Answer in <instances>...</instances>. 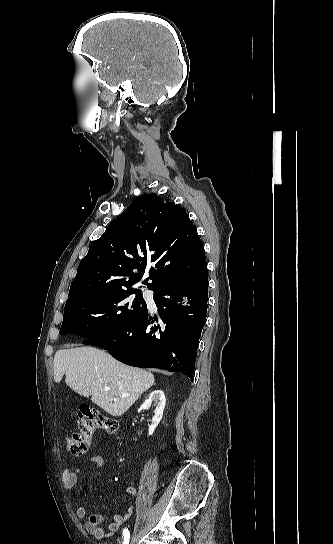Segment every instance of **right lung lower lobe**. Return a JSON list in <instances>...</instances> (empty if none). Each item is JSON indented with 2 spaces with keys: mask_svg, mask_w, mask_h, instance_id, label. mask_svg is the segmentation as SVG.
<instances>
[{
  "mask_svg": "<svg viewBox=\"0 0 333 544\" xmlns=\"http://www.w3.org/2000/svg\"><path fill=\"white\" fill-rule=\"evenodd\" d=\"M154 292L158 317L149 316L146 310L130 325L83 343L102 347L127 365L179 371L192 379L207 312V268Z\"/></svg>",
  "mask_w": 333,
  "mask_h": 544,
  "instance_id": "obj_1",
  "label": "right lung lower lobe"
}]
</instances>
